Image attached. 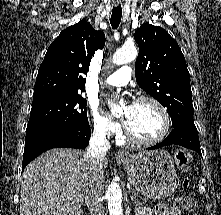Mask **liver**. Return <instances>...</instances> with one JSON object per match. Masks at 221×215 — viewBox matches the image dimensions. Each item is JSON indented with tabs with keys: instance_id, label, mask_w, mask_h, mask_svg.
<instances>
[{
	"instance_id": "6515ba94",
	"label": "liver",
	"mask_w": 221,
	"mask_h": 215,
	"mask_svg": "<svg viewBox=\"0 0 221 215\" xmlns=\"http://www.w3.org/2000/svg\"><path fill=\"white\" fill-rule=\"evenodd\" d=\"M85 153L67 148L49 150L32 161L22 175L20 215H75L95 177ZM108 160L98 165L101 185Z\"/></svg>"
}]
</instances>
